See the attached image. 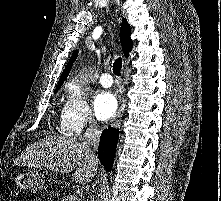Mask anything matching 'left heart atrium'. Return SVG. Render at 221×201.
Masks as SVG:
<instances>
[{
  "mask_svg": "<svg viewBox=\"0 0 221 201\" xmlns=\"http://www.w3.org/2000/svg\"><path fill=\"white\" fill-rule=\"evenodd\" d=\"M118 100L114 94L101 91L94 100V112L98 119L107 120L117 111Z\"/></svg>",
  "mask_w": 221,
  "mask_h": 201,
  "instance_id": "1",
  "label": "left heart atrium"
}]
</instances>
